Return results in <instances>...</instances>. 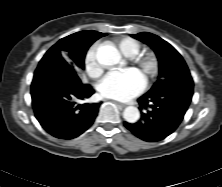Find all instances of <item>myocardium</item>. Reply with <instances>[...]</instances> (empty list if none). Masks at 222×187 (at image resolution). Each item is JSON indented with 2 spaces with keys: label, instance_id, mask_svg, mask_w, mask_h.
<instances>
[{
  "label": "myocardium",
  "instance_id": "obj_1",
  "mask_svg": "<svg viewBox=\"0 0 222 187\" xmlns=\"http://www.w3.org/2000/svg\"><path fill=\"white\" fill-rule=\"evenodd\" d=\"M132 63L139 69L145 70L147 81L153 80L159 72L160 61L154 52H141L132 57Z\"/></svg>",
  "mask_w": 222,
  "mask_h": 187
}]
</instances>
